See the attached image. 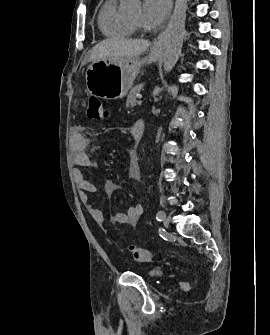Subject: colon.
<instances>
[{
	"label": "colon",
	"instance_id": "5ec220e1",
	"mask_svg": "<svg viewBox=\"0 0 270 335\" xmlns=\"http://www.w3.org/2000/svg\"><path fill=\"white\" fill-rule=\"evenodd\" d=\"M86 114L90 121L102 122L107 118L109 112L98 97L92 96L89 98ZM127 250L135 261L147 262L150 259V253L146 248L130 244L127 246Z\"/></svg>",
	"mask_w": 270,
	"mask_h": 335
}]
</instances>
